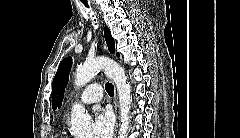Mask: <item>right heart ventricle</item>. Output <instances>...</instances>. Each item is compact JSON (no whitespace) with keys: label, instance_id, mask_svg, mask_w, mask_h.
<instances>
[{"label":"right heart ventricle","instance_id":"right-heart-ventricle-1","mask_svg":"<svg viewBox=\"0 0 240 138\" xmlns=\"http://www.w3.org/2000/svg\"><path fill=\"white\" fill-rule=\"evenodd\" d=\"M58 138H73V137L67 135L65 132H60Z\"/></svg>","mask_w":240,"mask_h":138}]
</instances>
